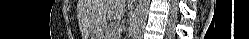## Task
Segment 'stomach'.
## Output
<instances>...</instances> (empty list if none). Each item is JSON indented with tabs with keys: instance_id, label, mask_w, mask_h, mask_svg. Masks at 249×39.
Instances as JSON below:
<instances>
[{
	"instance_id": "0dacf381",
	"label": "stomach",
	"mask_w": 249,
	"mask_h": 39,
	"mask_svg": "<svg viewBox=\"0 0 249 39\" xmlns=\"http://www.w3.org/2000/svg\"><path fill=\"white\" fill-rule=\"evenodd\" d=\"M102 26H100V27H98V28H96L94 31H93V33L91 34V37H95V38H97V39H99L100 37H102Z\"/></svg>"
}]
</instances>
